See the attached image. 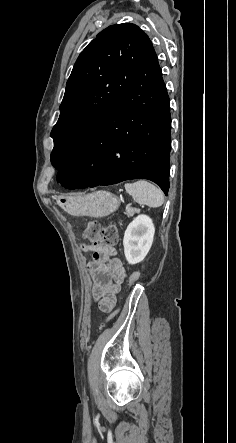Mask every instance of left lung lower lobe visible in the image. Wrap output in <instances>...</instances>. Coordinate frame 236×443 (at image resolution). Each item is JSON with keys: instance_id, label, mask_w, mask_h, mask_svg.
<instances>
[{"instance_id": "0a47b994", "label": "left lung lower lobe", "mask_w": 236, "mask_h": 443, "mask_svg": "<svg viewBox=\"0 0 236 443\" xmlns=\"http://www.w3.org/2000/svg\"><path fill=\"white\" fill-rule=\"evenodd\" d=\"M169 96L154 52L117 103L94 126L57 181L68 189L143 178L169 190Z\"/></svg>"}]
</instances>
